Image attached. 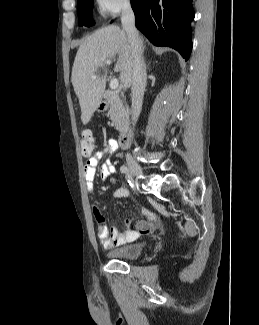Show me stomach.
I'll return each mask as SVG.
<instances>
[{
    "mask_svg": "<svg viewBox=\"0 0 259 325\" xmlns=\"http://www.w3.org/2000/svg\"><path fill=\"white\" fill-rule=\"evenodd\" d=\"M97 110L98 112H104L106 110V106L103 103H100Z\"/></svg>",
    "mask_w": 259,
    "mask_h": 325,
    "instance_id": "obj_1",
    "label": "stomach"
}]
</instances>
